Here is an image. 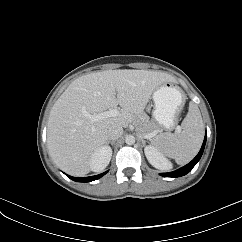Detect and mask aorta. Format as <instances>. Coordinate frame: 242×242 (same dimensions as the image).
Instances as JSON below:
<instances>
[{"instance_id": "aorta-1", "label": "aorta", "mask_w": 242, "mask_h": 242, "mask_svg": "<svg viewBox=\"0 0 242 242\" xmlns=\"http://www.w3.org/2000/svg\"><path fill=\"white\" fill-rule=\"evenodd\" d=\"M125 142L127 145H133L135 143V137L133 135H128L125 138Z\"/></svg>"}]
</instances>
